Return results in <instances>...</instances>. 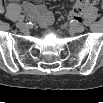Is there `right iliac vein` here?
<instances>
[{"instance_id":"1","label":"right iliac vein","mask_w":103,"mask_h":103,"mask_svg":"<svg viewBox=\"0 0 103 103\" xmlns=\"http://www.w3.org/2000/svg\"><path fill=\"white\" fill-rule=\"evenodd\" d=\"M16 26L20 29H23L26 27V23H24L23 21H19L16 23Z\"/></svg>"}]
</instances>
